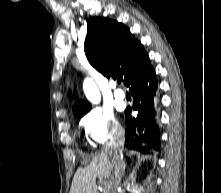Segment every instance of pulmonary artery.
<instances>
[{"label":"pulmonary artery","instance_id":"pulmonary-artery-1","mask_svg":"<svg viewBox=\"0 0 221 193\" xmlns=\"http://www.w3.org/2000/svg\"><path fill=\"white\" fill-rule=\"evenodd\" d=\"M111 87L113 88L114 90V96L117 98V99H124L125 98V92L120 89V88H117L116 86V83L115 82H112L111 83Z\"/></svg>","mask_w":221,"mask_h":193}]
</instances>
